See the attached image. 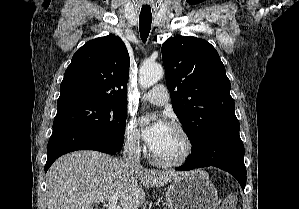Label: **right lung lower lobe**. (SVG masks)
<instances>
[{
	"label": "right lung lower lobe",
	"mask_w": 299,
	"mask_h": 209,
	"mask_svg": "<svg viewBox=\"0 0 299 209\" xmlns=\"http://www.w3.org/2000/svg\"><path fill=\"white\" fill-rule=\"evenodd\" d=\"M124 143L123 136L93 132L69 123L53 125V132L47 146L45 172L61 155L76 150H96L107 154H116Z\"/></svg>",
	"instance_id": "obj_1"
}]
</instances>
